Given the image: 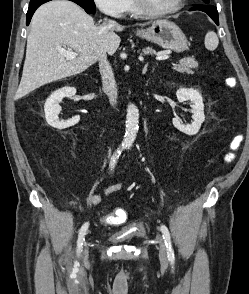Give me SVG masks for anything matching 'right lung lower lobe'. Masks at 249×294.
Listing matches in <instances>:
<instances>
[{"label":"right lung lower lobe","mask_w":249,"mask_h":294,"mask_svg":"<svg viewBox=\"0 0 249 294\" xmlns=\"http://www.w3.org/2000/svg\"><path fill=\"white\" fill-rule=\"evenodd\" d=\"M50 1V0H43L41 2L35 3V4H30L29 8H28V12H27V20H26V24L29 25L30 20L33 16V13L35 12V10L43 3ZM72 1V0H70ZM75 2V1H73ZM76 3V2H75ZM78 4V3H77ZM79 5V4H78ZM84 10L88 13V14H92L90 11H88L87 9L84 8Z\"/></svg>","instance_id":"1"}]
</instances>
